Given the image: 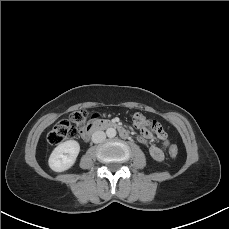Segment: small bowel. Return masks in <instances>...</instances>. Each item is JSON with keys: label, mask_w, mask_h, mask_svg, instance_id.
<instances>
[{"label": "small bowel", "mask_w": 229, "mask_h": 229, "mask_svg": "<svg viewBox=\"0 0 229 229\" xmlns=\"http://www.w3.org/2000/svg\"><path fill=\"white\" fill-rule=\"evenodd\" d=\"M153 129L150 127H145L142 128V134L145 138L151 139L154 135ZM155 135L162 141V146L156 145V144H151L148 147L149 153L151 157L158 162H161L164 160L165 154H164V149L168 145L167 141V135L163 131L162 127H159L158 131H155Z\"/></svg>", "instance_id": "1"}]
</instances>
